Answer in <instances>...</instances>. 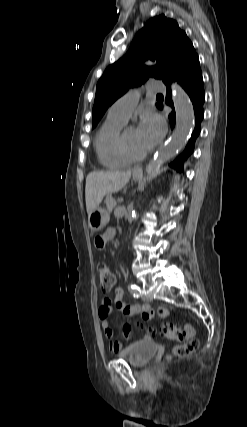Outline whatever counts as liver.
Returning a JSON list of instances; mask_svg holds the SVG:
<instances>
[{"mask_svg":"<svg viewBox=\"0 0 247 427\" xmlns=\"http://www.w3.org/2000/svg\"><path fill=\"white\" fill-rule=\"evenodd\" d=\"M131 177L130 171H93L87 175L85 186L86 209L90 215L106 194L122 189Z\"/></svg>","mask_w":247,"mask_h":427,"instance_id":"liver-1","label":"liver"}]
</instances>
